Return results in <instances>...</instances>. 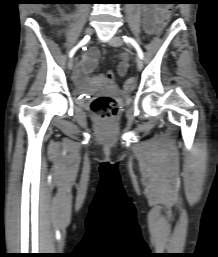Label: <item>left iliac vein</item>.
Returning <instances> with one entry per match:
<instances>
[{"mask_svg":"<svg viewBox=\"0 0 218 257\" xmlns=\"http://www.w3.org/2000/svg\"><path fill=\"white\" fill-rule=\"evenodd\" d=\"M123 44L122 39L119 36H113L112 39L110 40V45L114 47H119ZM136 63H137V68L139 70H142L143 68V62L140 57L136 58Z\"/></svg>","mask_w":218,"mask_h":257,"instance_id":"obj_1","label":"left iliac vein"}]
</instances>
